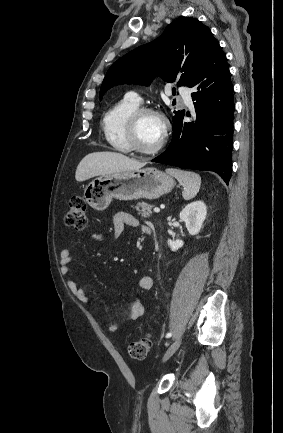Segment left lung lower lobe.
I'll return each mask as SVG.
<instances>
[{
	"label": "left lung lower lobe",
	"instance_id": "1",
	"mask_svg": "<svg viewBox=\"0 0 283 433\" xmlns=\"http://www.w3.org/2000/svg\"><path fill=\"white\" fill-rule=\"evenodd\" d=\"M187 86L195 89L196 116L192 122H183L184 113L173 119L172 141L152 162L213 171L228 184L235 105L226 56L218 42L199 63Z\"/></svg>",
	"mask_w": 283,
	"mask_h": 433
}]
</instances>
